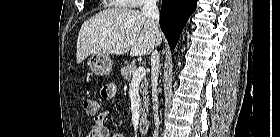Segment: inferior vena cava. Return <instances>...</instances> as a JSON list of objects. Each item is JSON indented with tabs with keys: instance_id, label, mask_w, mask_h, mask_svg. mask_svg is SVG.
<instances>
[{
	"instance_id": "obj_1",
	"label": "inferior vena cava",
	"mask_w": 280,
	"mask_h": 137,
	"mask_svg": "<svg viewBox=\"0 0 280 137\" xmlns=\"http://www.w3.org/2000/svg\"><path fill=\"white\" fill-rule=\"evenodd\" d=\"M157 0H145L144 5L141 9L142 15L147 17L154 33L159 34V9L156 5ZM159 62L160 57L157 50H154L151 55V70H152V103H153V111H154V124L155 130L153 137H158L159 134V115H158V94H157V79L159 73Z\"/></svg>"
}]
</instances>
